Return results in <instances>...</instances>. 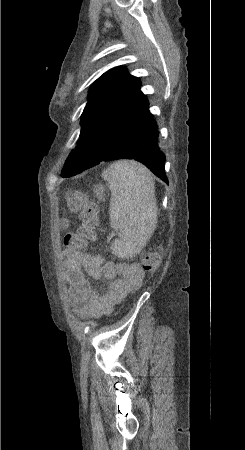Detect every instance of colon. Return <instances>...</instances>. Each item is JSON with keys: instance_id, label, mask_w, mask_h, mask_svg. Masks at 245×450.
<instances>
[{"instance_id": "1", "label": "colon", "mask_w": 245, "mask_h": 450, "mask_svg": "<svg viewBox=\"0 0 245 450\" xmlns=\"http://www.w3.org/2000/svg\"><path fill=\"white\" fill-rule=\"evenodd\" d=\"M67 209L77 213L81 224L79 228L63 238V245L66 249L82 255L89 242L97 240V230L99 228L97 204L84 192L77 190H67L65 192ZM160 263V256L156 252H150L140 259V266L146 272L153 273Z\"/></svg>"}]
</instances>
